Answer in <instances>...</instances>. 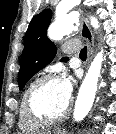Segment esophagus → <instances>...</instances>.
I'll return each mask as SVG.
<instances>
[{
	"instance_id": "1",
	"label": "esophagus",
	"mask_w": 116,
	"mask_h": 134,
	"mask_svg": "<svg viewBox=\"0 0 116 134\" xmlns=\"http://www.w3.org/2000/svg\"><path fill=\"white\" fill-rule=\"evenodd\" d=\"M80 21H81L80 34H81L82 38H84L86 40L87 45H88V58H87V62H86V66H88V64L90 63V61L93 58L94 36L92 34V31H91L87 21L85 20V18L83 16H81Z\"/></svg>"
}]
</instances>
